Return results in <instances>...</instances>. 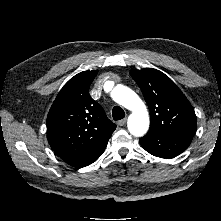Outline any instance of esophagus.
I'll return each instance as SVG.
<instances>
[{
    "mask_svg": "<svg viewBox=\"0 0 221 221\" xmlns=\"http://www.w3.org/2000/svg\"><path fill=\"white\" fill-rule=\"evenodd\" d=\"M126 122H127V119L124 118V119L118 121V125H119V126H124V125L126 124Z\"/></svg>",
    "mask_w": 221,
    "mask_h": 221,
    "instance_id": "1",
    "label": "esophagus"
}]
</instances>
